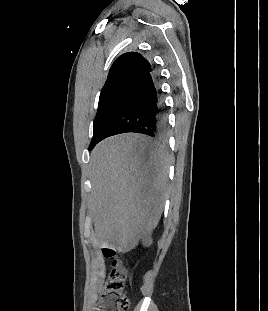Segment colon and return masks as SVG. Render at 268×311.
<instances>
[{"mask_svg": "<svg viewBox=\"0 0 268 311\" xmlns=\"http://www.w3.org/2000/svg\"><path fill=\"white\" fill-rule=\"evenodd\" d=\"M104 255L112 258V269L103 286L101 304L98 311H127L129 299L127 294V275L114 250L104 249Z\"/></svg>", "mask_w": 268, "mask_h": 311, "instance_id": "obj_1", "label": "colon"}]
</instances>
